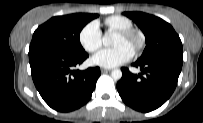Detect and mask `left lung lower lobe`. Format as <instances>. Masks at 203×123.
I'll list each match as a JSON object with an SVG mask.
<instances>
[{"label": "left lung lower lobe", "instance_id": "obj_1", "mask_svg": "<svg viewBox=\"0 0 203 123\" xmlns=\"http://www.w3.org/2000/svg\"><path fill=\"white\" fill-rule=\"evenodd\" d=\"M183 64V52L174 51L137 60L133 66L141 73L122 68L117 90L131 108L150 112L164 104L174 92Z\"/></svg>", "mask_w": 203, "mask_h": 123}]
</instances>
